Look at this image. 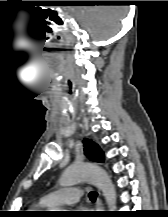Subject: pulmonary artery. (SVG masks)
<instances>
[{"instance_id": "obj_1", "label": "pulmonary artery", "mask_w": 168, "mask_h": 217, "mask_svg": "<svg viewBox=\"0 0 168 217\" xmlns=\"http://www.w3.org/2000/svg\"><path fill=\"white\" fill-rule=\"evenodd\" d=\"M82 195L76 187L62 188L46 194L41 201L48 207L71 205L77 203Z\"/></svg>"}]
</instances>
